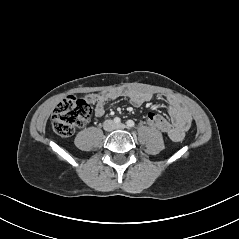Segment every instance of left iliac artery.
I'll return each instance as SVG.
<instances>
[{
    "instance_id": "obj_1",
    "label": "left iliac artery",
    "mask_w": 239,
    "mask_h": 239,
    "mask_svg": "<svg viewBox=\"0 0 239 239\" xmlns=\"http://www.w3.org/2000/svg\"><path fill=\"white\" fill-rule=\"evenodd\" d=\"M126 124H127V126H128L129 128H132V127H134V125H135V123H134L133 120H128V121L126 122Z\"/></svg>"
}]
</instances>
